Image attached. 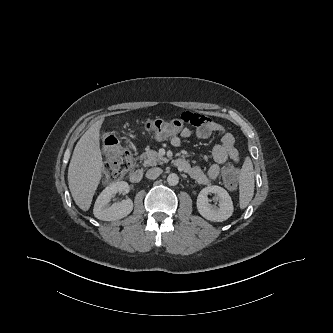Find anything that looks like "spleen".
<instances>
[{"label": "spleen", "instance_id": "obj_1", "mask_svg": "<svg viewBox=\"0 0 333 333\" xmlns=\"http://www.w3.org/2000/svg\"><path fill=\"white\" fill-rule=\"evenodd\" d=\"M254 195V171L253 164L247 158L240 172L239 184V204L240 208L244 209L248 206Z\"/></svg>", "mask_w": 333, "mask_h": 333}]
</instances>
